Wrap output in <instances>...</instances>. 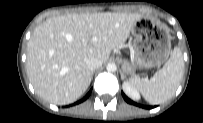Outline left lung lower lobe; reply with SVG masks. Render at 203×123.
<instances>
[{
  "instance_id": "0a47b994",
  "label": "left lung lower lobe",
  "mask_w": 203,
  "mask_h": 123,
  "mask_svg": "<svg viewBox=\"0 0 203 123\" xmlns=\"http://www.w3.org/2000/svg\"><path fill=\"white\" fill-rule=\"evenodd\" d=\"M122 96H123V98H124L128 103L137 105L135 102H133V101H131L129 98H127V97L124 95V93H122Z\"/></svg>"
}]
</instances>
